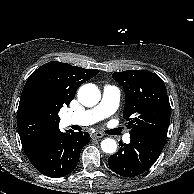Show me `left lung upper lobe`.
I'll use <instances>...</instances> for the list:
<instances>
[{"label":"left lung upper lobe","mask_w":194,"mask_h":194,"mask_svg":"<svg viewBox=\"0 0 194 194\" xmlns=\"http://www.w3.org/2000/svg\"><path fill=\"white\" fill-rule=\"evenodd\" d=\"M112 77L125 91L123 116L131 129L129 133L167 136L171 108L163 80L144 70L114 72Z\"/></svg>","instance_id":"left-lung-upper-lobe-1"}]
</instances>
